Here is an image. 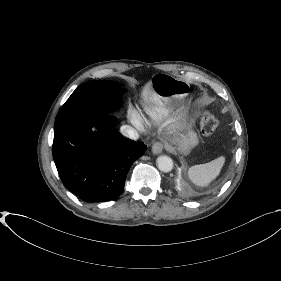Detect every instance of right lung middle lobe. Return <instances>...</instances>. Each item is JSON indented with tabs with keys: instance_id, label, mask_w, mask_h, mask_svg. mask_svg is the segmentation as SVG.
<instances>
[{
	"instance_id": "1",
	"label": "right lung middle lobe",
	"mask_w": 281,
	"mask_h": 281,
	"mask_svg": "<svg viewBox=\"0 0 281 281\" xmlns=\"http://www.w3.org/2000/svg\"><path fill=\"white\" fill-rule=\"evenodd\" d=\"M124 90L109 80L89 81L80 85L59 110L55 125L77 114H108L117 109Z\"/></svg>"
}]
</instances>
